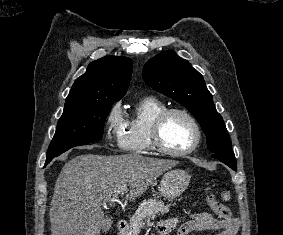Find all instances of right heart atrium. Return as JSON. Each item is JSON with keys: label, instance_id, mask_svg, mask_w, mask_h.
Returning a JSON list of instances; mask_svg holds the SVG:
<instances>
[{"label": "right heart atrium", "instance_id": "1", "mask_svg": "<svg viewBox=\"0 0 283 235\" xmlns=\"http://www.w3.org/2000/svg\"><path fill=\"white\" fill-rule=\"evenodd\" d=\"M125 119L120 104L113 106L106 121V131L109 141L119 143L120 135L125 126Z\"/></svg>", "mask_w": 283, "mask_h": 235}]
</instances>
